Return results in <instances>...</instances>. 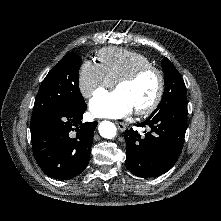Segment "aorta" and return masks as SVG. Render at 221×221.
I'll list each match as a JSON object with an SVG mask.
<instances>
[{
  "mask_svg": "<svg viewBox=\"0 0 221 221\" xmlns=\"http://www.w3.org/2000/svg\"><path fill=\"white\" fill-rule=\"evenodd\" d=\"M99 133L103 138L111 139L116 136V126L109 121H103L99 125Z\"/></svg>",
  "mask_w": 221,
  "mask_h": 221,
  "instance_id": "762f6f07",
  "label": "aorta"
}]
</instances>
